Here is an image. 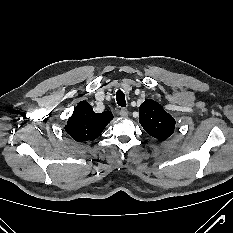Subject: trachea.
I'll return each mask as SVG.
<instances>
[{"label": "trachea", "mask_w": 233, "mask_h": 233, "mask_svg": "<svg viewBox=\"0 0 233 233\" xmlns=\"http://www.w3.org/2000/svg\"><path fill=\"white\" fill-rule=\"evenodd\" d=\"M116 100L120 107H126L125 95L121 90L116 92Z\"/></svg>", "instance_id": "3493384b"}]
</instances>
